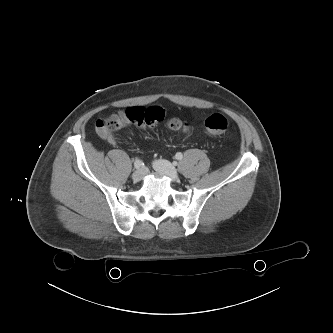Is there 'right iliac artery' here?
I'll return each mask as SVG.
<instances>
[{"label": "right iliac artery", "mask_w": 333, "mask_h": 333, "mask_svg": "<svg viewBox=\"0 0 333 333\" xmlns=\"http://www.w3.org/2000/svg\"><path fill=\"white\" fill-rule=\"evenodd\" d=\"M143 165L142 161L139 160V159H136L135 162H134V167L136 169H139L141 166Z\"/></svg>", "instance_id": "82829eb1"}]
</instances>
